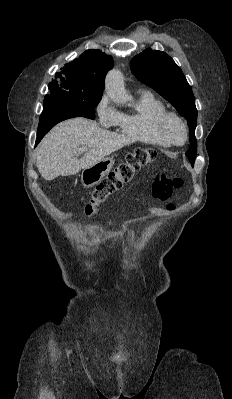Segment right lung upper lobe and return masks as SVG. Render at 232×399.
Listing matches in <instances>:
<instances>
[{
    "label": "right lung upper lobe",
    "mask_w": 232,
    "mask_h": 399,
    "mask_svg": "<svg viewBox=\"0 0 232 399\" xmlns=\"http://www.w3.org/2000/svg\"><path fill=\"white\" fill-rule=\"evenodd\" d=\"M112 67L111 56L97 49L87 50L56 73L51 83L68 91L103 93L106 73Z\"/></svg>",
    "instance_id": "1"
}]
</instances>
